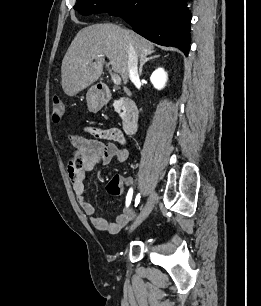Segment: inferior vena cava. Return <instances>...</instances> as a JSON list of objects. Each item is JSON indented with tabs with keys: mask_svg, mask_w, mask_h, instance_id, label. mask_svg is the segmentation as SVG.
Returning a JSON list of instances; mask_svg holds the SVG:
<instances>
[{
	"mask_svg": "<svg viewBox=\"0 0 261 306\" xmlns=\"http://www.w3.org/2000/svg\"><path fill=\"white\" fill-rule=\"evenodd\" d=\"M128 72H129V78L131 81H135L139 79L138 75V56L133 48V46H129L128 49Z\"/></svg>",
	"mask_w": 261,
	"mask_h": 306,
	"instance_id": "1",
	"label": "inferior vena cava"
}]
</instances>
